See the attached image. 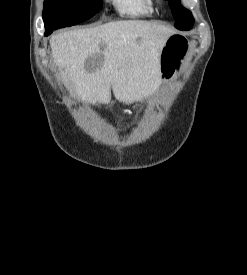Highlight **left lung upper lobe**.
<instances>
[{
    "mask_svg": "<svg viewBox=\"0 0 247 275\" xmlns=\"http://www.w3.org/2000/svg\"><path fill=\"white\" fill-rule=\"evenodd\" d=\"M169 5L172 9V14L177 21L175 27L179 30H190L194 19L191 15V12L185 8H183L179 2V0L170 1Z\"/></svg>",
    "mask_w": 247,
    "mask_h": 275,
    "instance_id": "left-lung-upper-lobe-1",
    "label": "left lung upper lobe"
}]
</instances>
